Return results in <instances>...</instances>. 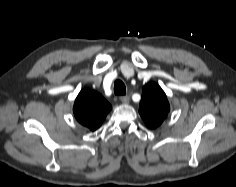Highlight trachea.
I'll use <instances>...</instances> for the list:
<instances>
[{"label": "trachea", "instance_id": "obj_1", "mask_svg": "<svg viewBox=\"0 0 236 187\" xmlns=\"http://www.w3.org/2000/svg\"><path fill=\"white\" fill-rule=\"evenodd\" d=\"M114 93L116 95H125L126 94V87L121 80H116L114 83Z\"/></svg>", "mask_w": 236, "mask_h": 187}]
</instances>
